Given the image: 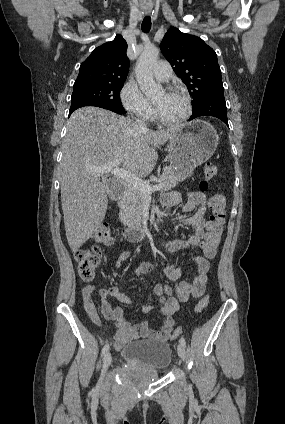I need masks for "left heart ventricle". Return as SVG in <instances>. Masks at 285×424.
<instances>
[{
	"instance_id": "obj_1",
	"label": "left heart ventricle",
	"mask_w": 285,
	"mask_h": 424,
	"mask_svg": "<svg viewBox=\"0 0 285 424\" xmlns=\"http://www.w3.org/2000/svg\"><path fill=\"white\" fill-rule=\"evenodd\" d=\"M159 114L166 120L180 119L186 112V103L182 96L177 94L159 93L154 99Z\"/></svg>"
}]
</instances>
